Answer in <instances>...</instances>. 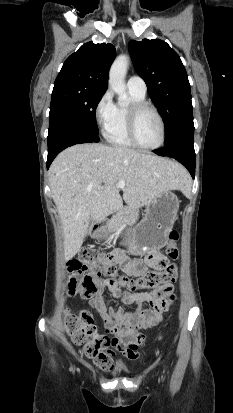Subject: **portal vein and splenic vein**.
Wrapping results in <instances>:
<instances>
[{"instance_id":"1","label":"portal vein and splenic vein","mask_w":233,"mask_h":413,"mask_svg":"<svg viewBox=\"0 0 233 413\" xmlns=\"http://www.w3.org/2000/svg\"><path fill=\"white\" fill-rule=\"evenodd\" d=\"M117 188L123 190L125 188V182L122 180L118 181Z\"/></svg>"}]
</instances>
